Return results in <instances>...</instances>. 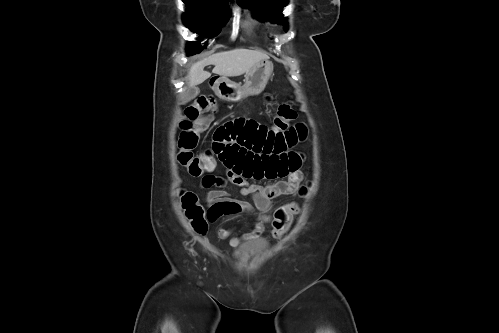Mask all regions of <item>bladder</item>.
Returning a JSON list of instances; mask_svg holds the SVG:
<instances>
[{"mask_svg":"<svg viewBox=\"0 0 499 333\" xmlns=\"http://www.w3.org/2000/svg\"><path fill=\"white\" fill-rule=\"evenodd\" d=\"M270 247L269 241L264 237L254 238L242 245L237 250L241 255L260 256Z\"/></svg>","mask_w":499,"mask_h":333,"instance_id":"obj_1","label":"bladder"}]
</instances>
